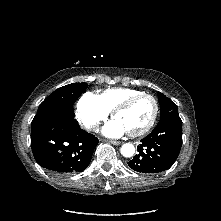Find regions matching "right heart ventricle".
Wrapping results in <instances>:
<instances>
[{
  "mask_svg": "<svg viewBox=\"0 0 221 221\" xmlns=\"http://www.w3.org/2000/svg\"><path fill=\"white\" fill-rule=\"evenodd\" d=\"M140 93H142V91L137 89L118 87L106 89L99 96L105 107L109 111H112L117 105L122 103L124 100Z\"/></svg>",
  "mask_w": 221,
  "mask_h": 221,
  "instance_id": "right-heart-ventricle-1",
  "label": "right heart ventricle"
}]
</instances>
